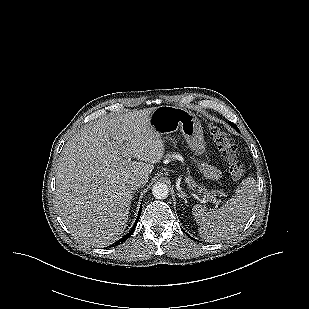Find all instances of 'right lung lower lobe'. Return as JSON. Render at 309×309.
Returning a JSON list of instances; mask_svg holds the SVG:
<instances>
[{
    "label": "right lung lower lobe",
    "mask_w": 309,
    "mask_h": 309,
    "mask_svg": "<svg viewBox=\"0 0 309 309\" xmlns=\"http://www.w3.org/2000/svg\"><path fill=\"white\" fill-rule=\"evenodd\" d=\"M141 208H142V205H141V207H140V209H139L138 217H137V219H136V221H135V223H134V225H133L131 231H130L129 233H127L125 236H123V238H121V239H119L117 242H115V243L113 244V246L122 244V243H123L124 241H126V240L130 237V235L133 233V231L135 230V228H136V226H137V222L139 221V218H140V211H141Z\"/></svg>",
    "instance_id": "right-lung-lower-lobe-1"
}]
</instances>
